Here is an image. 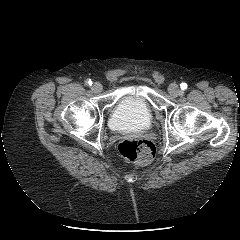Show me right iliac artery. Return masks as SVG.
<instances>
[{
  "instance_id": "82829eb1",
  "label": "right iliac artery",
  "mask_w": 240,
  "mask_h": 240,
  "mask_svg": "<svg viewBox=\"0 0 240 240\" xmlns=\"http://www.w3.org/2000/svg\"><path fill=\"white\" fill-rule=\"evenodd\" d=\"M85 85L91 86V85H92L91 79H87V80L85 81Z\"/></svg>"
}]
</instances>
